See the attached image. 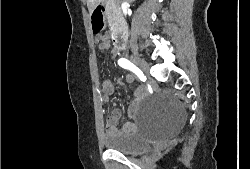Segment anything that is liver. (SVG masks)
<instances>
[{"instance_id": "liver-1", "label": "liver", "mask_w": 250, "mask_h": 169, "mask_svg": "<svg viewBox=\"0 0 250 169\" xmlns=\"http://www.w3.org/2000/svg\"><path fill=\"white\" fill-rule=\"evenodd\" d=\"M86 2H87L89 12H93L97 4H99V2H103V0H86ZM117 2H122V0H117ZM129 2H133V0H129Z\"/></svg>"}]
</instances>
